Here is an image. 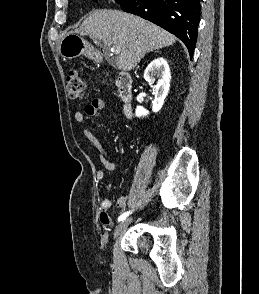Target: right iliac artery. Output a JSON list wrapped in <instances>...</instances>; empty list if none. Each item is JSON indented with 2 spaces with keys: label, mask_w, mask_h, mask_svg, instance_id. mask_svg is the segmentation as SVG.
I'll return each mask as SVG.
<instances>
[{
  "label": "right iliac artery",
  "mask_w": 259,
  "mask_h": 294,
  "mask_svg": "<svg viewBox=\"0 0 259 294\" xmlns=\"http://www.w3.org/2000/svg\"><path fill=\"white\" fill-rule=\"evenodd\" d=\"M132 211H128V212H125L123 213L119 218H118V221H123L124 219H126V217L131 214Z\"/></svg>",
  "instance_id": "obj_1"
}]
</instances>
